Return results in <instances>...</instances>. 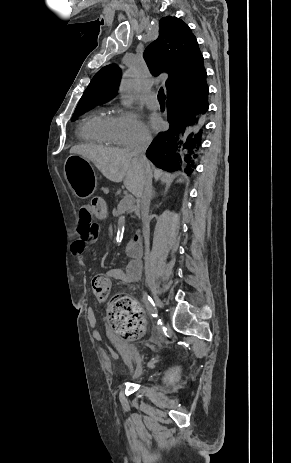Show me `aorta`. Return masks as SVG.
Here are the masks:
<instances>
[{
	"mask_svg": "<svg viewBox=\"0 0 291 463\" xmlns=\"http://www.w3.org/2000/svg\"><path fill=\"white\" fill-rule=\"evenodd\" d=\"M138 88V76L134 70L129 69L120 84L121 103L131 107L135 101Z\"/></svg>",
	"mask_w": 291,
	"mask_h": 463,
	"instance_id": "1",
	"label": "aorta"
}]
</instances>
